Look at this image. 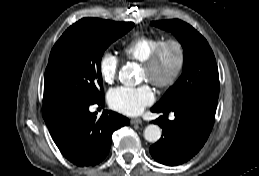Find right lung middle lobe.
I'll return each instance as SVG.
<instances>
[{
    "mask_svg": "<svg viewBox=\"0 0 259 176\" xmlns=\"http://www.w3.org/2000/svg\"><path fill=\"white\" fill-rule=\"evenodd\" d=\"M134 26L83 18L70 26L51 50L44 94L53 98L94 101L103 97L100 62L105 49Z\"/></svg>",
    "mask_w": 259,
    "mask_h": 176,
    "instance_id": "obj_1",
    "label": "right lung middle lobe"
}]
</instances>
